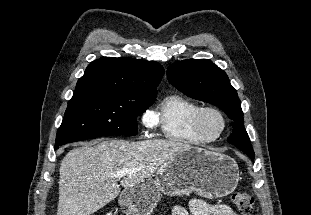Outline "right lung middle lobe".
I'll return each instance as SVG.
<instances>
[{
  "label": "right lung middle lobe",
  "mask_w": 311,
  "mask_h": 215,
  "mask_svg": "<svg viewBox=\"0 0 311 215\" xmlns=\"http://www.w3.org/2000/svg\"><path fill=\"white\" fill-rule=\"evenodd\" d=\"M156 96H137L101 89H75L56 136V146L107 135H136L138 115Z\"/></svg>",
  "instance_id": "obj_1"
}]
</instances>
